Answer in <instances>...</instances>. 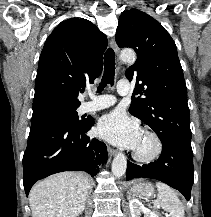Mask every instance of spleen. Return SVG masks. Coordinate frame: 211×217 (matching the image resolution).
<instances>
[{"instance_id":"3e777b00","label":"spleen","mask_w":211,"mask_h":217,"mask_svg":"<svg viewBox=\"0 0 211 217\" xmlns=\"http://www.w3.org/2000/svg\"><path fill=\"white\" fill-rule=\"evenodd\" d=\"M156 187L161 207L169 212L171 217H185L184 207L174 190L162 182H157Z\"/></svg>"}]
</instances>
